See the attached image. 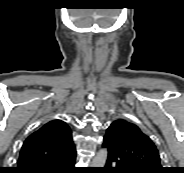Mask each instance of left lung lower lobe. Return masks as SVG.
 Returning a JSON list of instances; mask_svg holds the SVG:
<instances>
[{"label":"left lung lower lobe","instance_id":"0a47b994","mask_svg":"<svg viewBox=\"0 0 184 173\" xmlns=\"http://www.w3.org/2000/svg\"><path fill=\"white\" fill-rule=\"evenodd\" d=\"M103 147L107 148L108 158L104 168L101 169V173H133L128 169L121 157H119L107 144L103 142Z\"/></svg>","mask_w":184,"mask_h":173}]
</instances>
